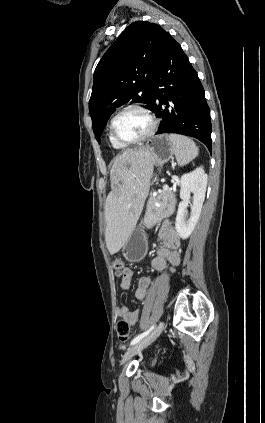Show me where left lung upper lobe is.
<instances>
[{"label": "left lung upper lobe", "mask_w": 265, "mask_h": 423, "mask_svg": "<svg viewBox=\"0 0 265 423\" xmlns=\"http://www.w3.org/2000/svg\"><path fill=\"white\" fill-rule=\"evenodd\" d=\"M166 32L147 21L129 25L103 55L94 72L89 101L97 141L114 110L131 101L152 104L151 83Z\"/></svg>", "instance_id": "obj_1"}]
</instances>
